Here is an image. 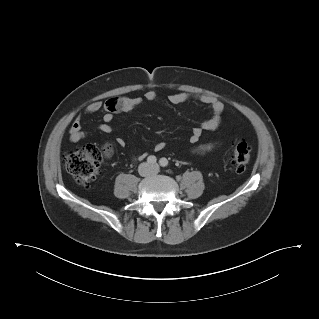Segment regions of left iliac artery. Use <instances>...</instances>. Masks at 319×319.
<instances>
[{
  "instance_id": "left-iliac-artery-1",
  "label": "left iliac artery",
  "mask_w": 319,
  "mask_h": 319,
  "mask_svg": "<svg viewBox=\"0 0 319 319\" xmlns=\"http://www.w3.org/2000/svg\"><path fill=\"white\" fill-rule=\"evenodd\" d=\"M159 163L162 167H166L168 165V160L166 158H161Z\"/></svg>"
}]
</instances>
